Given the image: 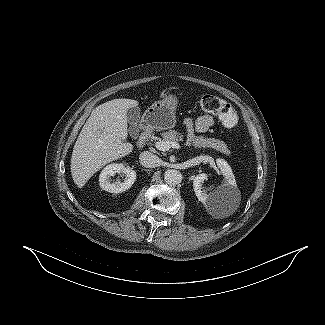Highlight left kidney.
I'll return each mask as SVG.
<instances>
[{
  "label": "left kidney",
  "instance_id": "1",
  "mask_svg": "<svg viewBox=\"0 0 325 325\" xmlns=\"http://www.w3.org/2000/svg\"><path fill=\"white\" fill-rule=\"evenodd\" d=\"M216 163L224 177V182L221 186H218L214 192L207 194L202 190L204 180L208 177L206 173L198 174L193 181L194 192L198 200L205 206H211L213 203L219 202L226 193L234 194L238 192L235 176L228 163L223 159H217Z\"/></svg>",
  "mask_w": 325,
  "mask_h": 325
}]
</instances>
